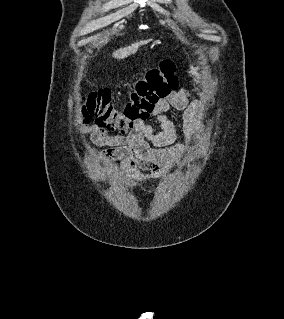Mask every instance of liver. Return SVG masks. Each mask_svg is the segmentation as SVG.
Returning a JSON list of instances; mask_svg holds the SVG:
<instances>
[{
  "label": "liver",
  "instance_id": "liver-1",
  "mask_svg": "<svg viewBox=\"0 0 284 319\" xmlns=\"http://www.w3.org/2000/svg\"><path fill=\"white\" fill-rule=\"evenodd\" d=\"M149 42H150V40H142L139 42H135L129 46H126V47H123V48H120V49L114 51L112 53V56L118 60L127 58L128 56L135 54L141 45H145Z\"/></svg>",
  "mask_w": 284,
  "mask_h": 319
}]
</instances>
